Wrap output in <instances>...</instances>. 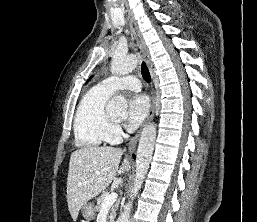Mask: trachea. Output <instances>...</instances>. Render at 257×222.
<instances>
[{
  "instance_id": "obj_1",
  "label": "trachea",
  "mask_w": 257,
  "mask_h": 222,
  "mask_svg": "<svg viewBox=\"0 0 257 222\" xmlns=\"http://www.w3.org/2000/svg\"><path fill=\"white\" fill-rule=\"evenodd\" d=\"M141 74L143 79L147 82L150 83L151 82V76H150V72L146 66V64L144 62H142L141 65Z\"/></svg>"
}]
</instances>
